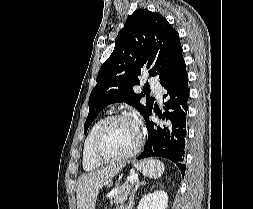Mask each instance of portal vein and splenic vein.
I'll return each mask as SVG.
<instances>
[{
    "label": "portal vein and splenic vein",
    "instance_id": "portal-vein-and-splenic-vein-1",
    "mask_svg": "<svg viewBox=\"0 0 253 209\" xmlns=\"http://www.w3.org/2000/svg\"><path fill=\"white\" fill-rule=\"evenodd\" d=\"M137 179H138V176H137L136 174H133V175H130V176H129L128 181H129L130 183H134V182L137 181Z\"/></svg>",
    "mask_w": 253,
    "mask_h": 209
}]
</instances>
